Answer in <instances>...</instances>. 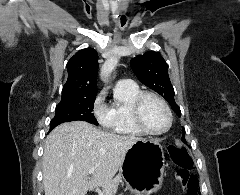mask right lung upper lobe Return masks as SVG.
Wrapping results in <instances>:
<instances>
[{"label": "right lung upper lobe", "mask_w": 240, "mask_h": 195, "mask_svg": "<svg viewBox=\"0 0 240 195\" xmlns=\"http://www.w3.org/2000/svg\"><path fill=\"white\" fill-rule=\"evenodd\" d=\"M68 79L62 90V98L96 97L98 55L93 48H85L67 63Z\"/></svg>", "instance_id": "1"}]
</instances>
